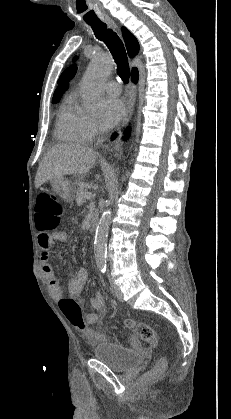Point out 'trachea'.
Returning <instances> with one entry per match:
<instances>
[{
    "label": "trachea",
    "instance_id": "1",
    "mask_svg": "<svg viewBox=\"0 0 231 419\" xmlns=\"http://www.w3.org/2000/svg\"><path fill=\"white\" fill-rule=\"evenodd\" d=\"M91 26L96 38L103 41L117 64V73L125 84L129 81L130 71L126 51L121 39L111 29H107L105 23L101 21L87 22Z\"/></svg>",
    "mask_w": 231,
    "mask_h": 419
}]
</instances>
